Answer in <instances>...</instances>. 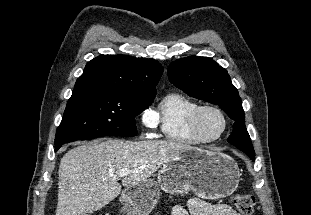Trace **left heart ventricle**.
<instances>
[{
  "instance_id": "obj_1",
  "label": "left heart ventricle",
  "mask_w": 311,
  "mask_h": 215,
  "mask_svg": "<svg viewBox=\"0 0 311 215\" xmlns=\"http://www.w3.org/2000/svg\"><path fill=\"white\" fill-rule=\"evenodd\" d=\"M223 122L221 117L214 111H205L201 117V127L209 136H215L222 129Z\"/></svg>"
}]
</instances>
